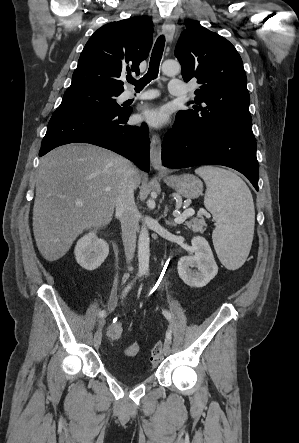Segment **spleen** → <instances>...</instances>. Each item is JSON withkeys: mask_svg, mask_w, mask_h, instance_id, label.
Listing matches in <instances>:
<instances>
[{"mask_svg": "<svg viewBox=\"0 0 299 443\" xmlns=\"http://www.w3.org/2000/svg\"><path fill=\"white\" fill-rule=\"evenodd\" d=\"M195 173L206 183L204 204L217 224L212 234L216 253L227 269L236 270L245 262L254 234L251 192L231 171L203 166Z\"/></svg>", "mask_w": 299, "mask_h": 443, "instance_id": "3e777b00", "label": "spleen"}]
</instances>
